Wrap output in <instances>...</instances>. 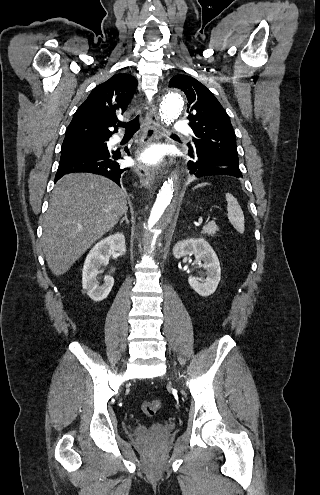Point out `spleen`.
Here are the masks:
<instances>
[{
  "mask_svg": "<svg viewBox=\"0 0 320 495\" xmlns=\"http://www.w3.org/2000/svg\"><path fill=\"white\" fill-rule=\"evenodd\" d=\"M207 183H201L196 186L198 187H203L206 186ZM225 198L227 201V216L230 221V223L233 225V227L241 234L244 233V214L243 211L237 201V199L231 194V193H226Z\"/></svg>",
  "mask_w": 320,
  "mask_h": 495,
  "instance_id": "1",
  "label": "spleen"
}]
</instances>
